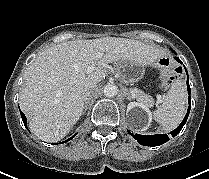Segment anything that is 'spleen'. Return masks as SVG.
Here are the masks:
<instances>
[{"label":"spleen","instance_id":"spleen-1","mask_svg":"<svg viewBox=\"0 0 209 179\" xmlns=\"http://www.w3.org/2000/svg\"><path fill=\"white\" fill-rule=\"evenodd\" d=\"M162 105L154 111V120L158 122L164 131L174 130L183 120L186 103L187 91L185 83L176 80L171 83L167 94L163 96Z\"/></svg>","mask_w":209,"mask_h":179}]
</instances>
